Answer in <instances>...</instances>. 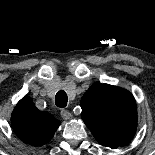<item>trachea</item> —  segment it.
Listing matches in <instances>:
<instances>
[{"label":"trachea","mask_w":155,"mask_h":155,"mask_svg":"<svg viewBox=\"0 0 155 155\" xmlns=\"http://www.w3.org/2000/svg\"><path fill=\"white\" fill-rule=\"evenodd\" d=\"M67 101H68V98L64 91H59L56 94V97H55L56 106H58L60 108H65L67 105Z\"/></svg>","instance_id":"obj_1"}]
</instances>
